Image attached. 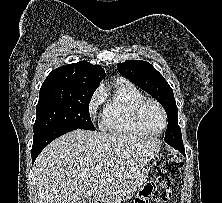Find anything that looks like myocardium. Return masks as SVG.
<instances>
[{
	"instance_id": "f54148a6",
	"label": "myocardium",
	"mask_w": 222,
	"mask_h": 203,
	"mask_svg": "<svg viewBox=\"0 0 222 203\" xmlns=\"http://www.w3.org/2000/svg\"><path fill=\"white\" fill-rule=\"evenodd\" d=\"M148 104H154L155 106H157L163 115L164 125L160 131H157V132L151 131L145 125V123L143 121V110H144L145 106ZM134 117H135L136 123L138 124V126L142 130H144L147 134L154 135V136H157V135H160L161 133H163L168 125V116H167V112H166L165 108L163 107V105L160 102H158L157 100L152 99V98L145 97L136 104L135 109H134Z\"/></svg>"
}]
</instances>
